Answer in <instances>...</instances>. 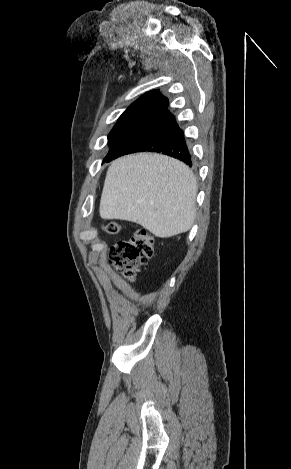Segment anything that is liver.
Wrapping results in <instances>:
<instances>
[{"label":"liver","instance_id":"1","mask_svg":"<svg viewBox=\"0 0 291 469\" xmlns=\"http://www.w3.org/2000/svg\"><path fill=\"white\" fill-rule=\"evenodd\" d=\"M197 191L196 178L182 162L161 154L128 155L108 168L99 213L167 238L193 226Z\"/></svg>","mask_w":291,"mask_h":469}]
</instances>
